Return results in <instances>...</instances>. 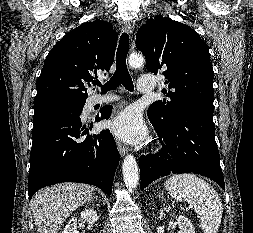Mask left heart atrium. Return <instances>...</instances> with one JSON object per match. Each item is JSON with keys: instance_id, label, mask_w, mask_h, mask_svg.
I'll list each match as a JSON object with an SVG mask.
<instances>
[{"instance_id": "obj_1", "label": "left heart atrium", "mask_w": 253, "mask_h": 233, "mask_svg": "<svg viewBox=\"0 0 253 233\" xmlns=\"http://www.w3.org/2000/svg\"><path fill=\"white\" fill-rule=\"evenodd\" d=\"M110 130L120 139L135 143L146 135V126L139 112L126 109L109 124Z\"/></svg>"}]
</instances>
